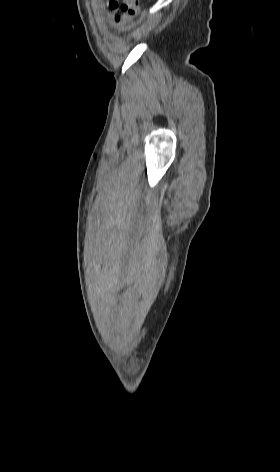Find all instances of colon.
<instances>
[{
	"mask_svg": "<svg viewBox=\"0 0 280 472\" xmlns=\"http://www.w3.org/2000/svg\"><path fill=\"white\" fill-rule=\"evenodd\" d=\"M110 9L116 11L118 9L116 0H109ZM123 15L116 17V22H130L132 21L140 11L139 0H123L121 6Z\"/></svg>",
	"mask_w": 280,
	"mask_h": 472,
	"instance_id": "obj_1",
	"label": "colon"
}]
</instances>
